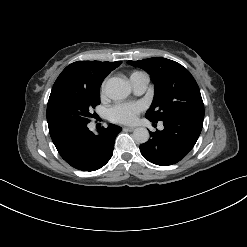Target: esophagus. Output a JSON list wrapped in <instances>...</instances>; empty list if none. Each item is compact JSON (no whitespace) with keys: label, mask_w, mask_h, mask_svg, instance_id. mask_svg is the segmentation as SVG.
I'll list each match as a JSON object with an SVG mask.
<instances>
[{"label":"esophagus","mask_w":247,"mask_h":247,"mask_svg":"<svg viewBox=\"0 0 247 247\" xmlns=\"http://www.w3.org/2000/svg\"><path fill=\"white\" fill-rule=\"evenodd\" d=\"M123 130L133 131L135 130V127L127 126V127H123Z\"/></svg>","instance_id":"obj_1"}]
</instances>
